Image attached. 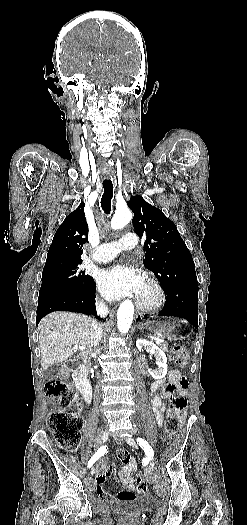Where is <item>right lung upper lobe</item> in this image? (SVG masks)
Returning a JSON list of instances; mask_svg holds the SVG:
<instances>
[{
  "label": "right lung upper lobe",
  "mask_w": 247,
  "mask_h": 525,
  "mask_svg": "<svg viewBox=\"0 0 247 525\" xmlns=\"http://www.w3.org/2000/svg\"><path fill=\"white\" fill-rule=\"evenodd\" d=\"M84 203L70 213L57 229L43 271L79 265L83 244L88 241Z\"/></svg>",
  "instance_id": "1"
}]
</instances>
